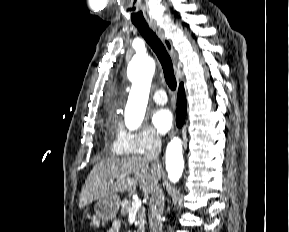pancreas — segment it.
I'll list each match as a JSON object with an SVG mask.
<instances>
[{"label":"pancreas","mask_w":289,"mask_h":232,"mask_svg":"<svg viewBox=\"0 0 289 232\" xmlns=\"http://www.w3.org/2000/svg\"><path fill=\"white\" fill-rule=\"evenodd\" d=\"M132 202L131 200L125 199L121 203V215L125 216L129 213L131 209ZM145 229V208L142 207L138 212V231L137 232H144Z\"/></svg>","instance_id":"1"}]
</instances>
